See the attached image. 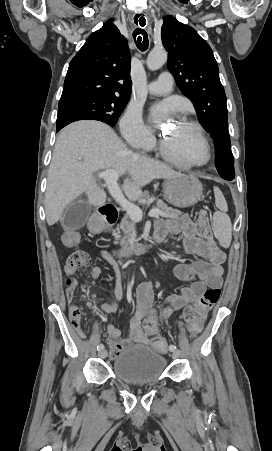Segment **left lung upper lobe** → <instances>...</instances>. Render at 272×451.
I'll list each match as a JSON object with an SVG mask.
<instances>
[{"label": "left lung upper lobe", "mask_w": 272, "mask_h": 451, "mask_svg": "<svg viewBox=\"0 0 272 451\" xmlns=\"http://www.w3.org/2000/svg\"><path fill=\"white\" fill-rule=\"evenodd\" d=\"M163 19L161 35L168 51V69L182 93L194 103L199 122L215 140L219 175L224 179L234 178L226 95L213 52L192 27L173 16Z\"/></svg>", "instance_id": "5c2ea615"}]
</instances>
